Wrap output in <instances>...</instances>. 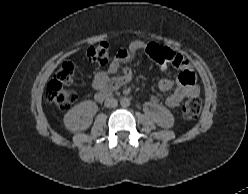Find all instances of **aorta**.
<instances>
[{"instance_id":"obj_1","label":"aorta","mask_w":248,"mask_h":194,"mask_svg":"<svg viewBox=\"0 0 248 194\" xmlns=\"http://www.w3.org/2000/svg\"><path fill=\"white\" fill-rule=\"evenodd\" d=\"M120 105L123 107V108H127L129 105H130V99L129 98H122L120 100Z\"/></svg>"}]
</instances>
